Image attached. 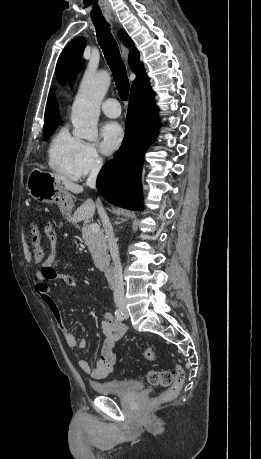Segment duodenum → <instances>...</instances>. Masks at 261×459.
Segmentation results:
<instances>
[{
	"instance_id": "obj_1",
	"label": "duodenum",
	"mask_w": 261,
	"mask_h": 459,
	"mask_svg": "<svg viewBox=\"0 0 261 459\" xmlns=\"http://www.w3.org/2000/svg\"><path fill=\"white\" fill-rule=\"evenodd\" d=\"M103 271L105 276L107 277L109 282H113L114 280V269L110 264H106L103 266Z\"/></svg>"
}]
</instances>
